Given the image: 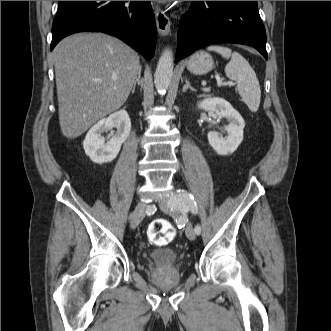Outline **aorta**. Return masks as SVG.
I'll return each instance as SVG.
<instances>
[{
    "label": "aorta",
    "instance_id": "aorta-1",
    "mask_svg": "<svg viewBox=\"0 0 331 331\" xmlns=\"http://www.w3.org/2000/svg\"><path fill=\"white\" fill-rule=\"evenodd\" d=\"M173 53L170 49L163 51L159 58L157 68L154 74V83L159 93H165L168 90L173 76Z\"/></svg>",
    "mask_w": 331,
    "mask_h": 331
}]
</instances>
